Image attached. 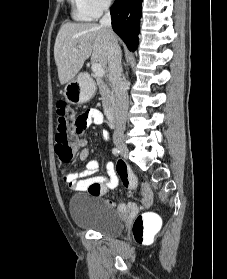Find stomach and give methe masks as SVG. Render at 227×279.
I'll list each match as a JSON object with an SVG mask.
<instances>
[{"instance_id": "obj_1", "label": "stomach", "mask_w": 227, "mask_h": 279, "mask_svg": "<svg viewBox=\"0 0 227 279\" xmlns=\"http://www.w3.org/2000/svg\"><path fill=\"white\" fill-rule=\"evenodd\" d=\"M95 91V85L91 80L82 82L79 78H73L66 83L63 94L69 103L82 104L90 100Z\"/></svg>"}]
</instances>
